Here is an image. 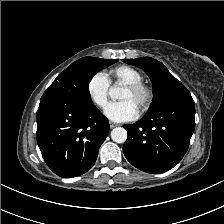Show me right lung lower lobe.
I'll use <instances>...</instances> for the list:
<instances>
[{
    "mask_svg": "<svg viewBox=\"0 0 224 224\" xmlns=\"http://www.w3.org/2000/svg\"><path fill=\"white\" fill-rule=\"evenodd\" d=\"M37 143L48 167L72 178L95 163L108 131V119L94 106L56 92H45L37 111Z\"/></svg>",
    "mask_w": 224,
    "mask_h": 224,
    "instance_id": "98d812e1",
    "label": "right lung lower lobe"
}]
</instances>
